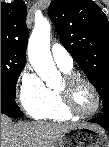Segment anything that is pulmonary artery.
<instances>
[{
    "mask_svg": "<svg viewBox=\"0 0 109 147\" xmlns=\"http://www.w3.org/2000/svg\"><path fill=\"white\" fill-rule=\"evenodd\" d=\"M51 51L54 62L60 69L63 71H71L73 69V58L63 46L54 44Z\"/></svg>",
    "mask_w": 109,
    "mask_h": 147,
    "instance_id": "e3ab8cb5",
    "label": "pulmonary artery"
}]
</instances>
